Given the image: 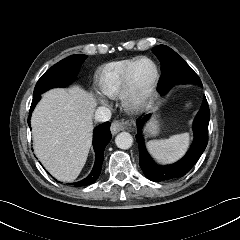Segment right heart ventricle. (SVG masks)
I'll return each instance as SVG.
<instances>
[{
	"label": "right heart ventricle",
	"mask_w": 240,
	"mask_h": 240,
	"mask_svg": "<svg viewBox=\"0 0 240 240\" xmlns=\"http://www.w3.org/2000/svg\"><path fill=\"white\" fill-rule=\"evenodd\" d=\"M135 60L136 58H128L112 61L100 69L98 85L105 95L110 98L121 95L125 73Z\"/></svg>",
	"instance_id": "e07e8e85"
}]
</instances>
